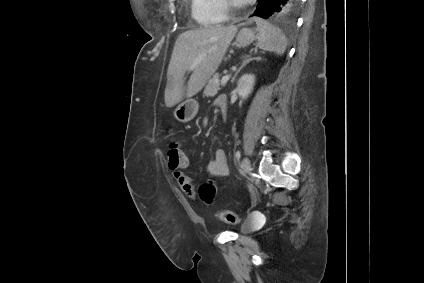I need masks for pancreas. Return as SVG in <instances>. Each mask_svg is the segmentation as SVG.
Masks as SVG:
<instances>
[{"label": "pancreas", "instance_id": "pancreas-1", "mask_svg": "<svg viewBox=\"0 0 424 283\" xmlns=\"http://www.w3.org/2000/svg\"><path fill=\"white\" fill-rule=\"evenodd\" d=\"M221 90L220 83H219V76L214 75L209 81L208 84L205 87L204 95L206 97H214L218 91Z\"/></svg>", "mask_w": 424, "mask_h": 283}]
</instances>
